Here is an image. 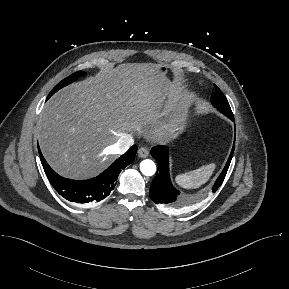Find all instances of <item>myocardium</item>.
Returning a JSON list of instances; mask_svg holds the SVG:
<instances>
[{"mask_svg": "<svg viewBox=\"0 0 289 289\" xmlns=\"http://www.w3.org/2000/svg\"><path fill=\"white\" fill-rule=\"evenodd\" d=\"M173 127H174V123H171V124L168 126V130H171Z\"/></svg>", "mask_w": 289, "mask_h": 289, "instance_id": "f54148a6", "label": "myocardium"}]
</instances>
